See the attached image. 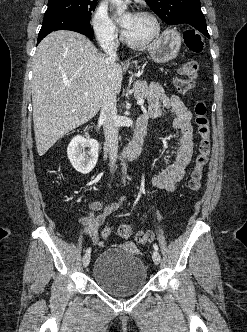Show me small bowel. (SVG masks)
Returning <instances> with one entry per match:
<instances>
[{
	"label": "small bowel",
	"instance_id": "obj_1",
	"mask_svg": "<svg viewBox=\"0 0 247 332\" xmlns=\"http://www.w3.org/2000/svg\"><path fill=\"white\" fill-rule=\"evenodd\" d=\"M164 109L174 112L176 118L174 126L181 132L179 144L174 161L169 164L159 175L153 177L151 182L154 186L166 191H173L183 179L193 154V129L191 126V111L174 95H168L158 84H152L149 103L146 113L147 118L160 117ZM117 202L104 205L99 201L92 202L90 209L96 215H88L80 218V224L91 240L99 243V228L106 216L118 207Z\"/></svg>",
	"mask_w": 247,
	"mask_h": 332
}]
</instances>
